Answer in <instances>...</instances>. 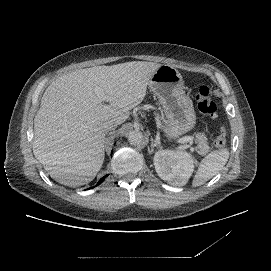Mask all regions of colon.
<instances>
[{
	"mask_svg": "<svg viewBox=\"0 0 271 271\" xmlns=\"http://www.w3.org/2000/svg\"><path fill=\"white\" fill-rule=\"evenodd\" d=\"M195 102L198 110L203 115L211 119L217 117V107L212 98L211 91L207 86H202L197 90L195 95ZM226 142V130L222 127L214 140V144L218 148H223L225 147Z\"/></svg>",
	"mask_w": 271,
	"mask_h": 271,
	"instance_id": "1",
	"label": "colon"
}]
</instances>
